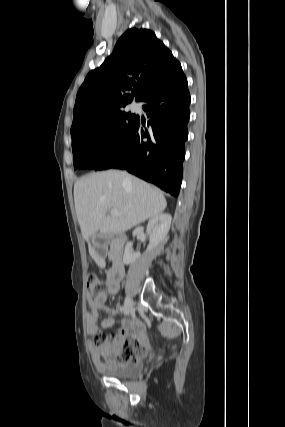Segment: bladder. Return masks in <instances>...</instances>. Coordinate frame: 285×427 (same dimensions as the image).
I'll list each match as a JSON object with an SVG mask.
<instances>
[{
    "label": "bladder",
    "mask_w": 285,
    "mask_h": 427,
    "mask_svg": "<svg viewBox=\"0 0 285 427\" xmlns=\"http://www.w3.org/2000/svg\"><path fill=\"white\" fill-rule=\"evenodd\" d=\"M142 364L139 362H130L123 366L110 367L106 374L117 379H128L137 377L142 372Z\"/></svg>",
    "instance_id": "31cf9c89"
}]
</instances>
